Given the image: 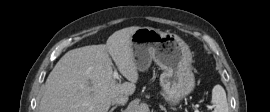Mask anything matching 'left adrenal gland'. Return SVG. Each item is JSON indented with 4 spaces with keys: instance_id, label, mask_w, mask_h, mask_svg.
Returning <instances> with one entry per match:
<instances>
[{
    "instance_id": "obj_1",
    "label": "left adrenal gland",
    "mask_w": 270,
    "mask_h": 112,
    "mask_svg": "<svg viewBox=\"0 0 270 112\" xmlns=\"http://www.w3.org/2000/svg\"><path fill=\"white\" fill-rule=\"evenodd\" d=\"M160 108H161V110H163L164 112H167L166 108L163 107L162 105H160Z\"/></svg>"
}]
</instances>
